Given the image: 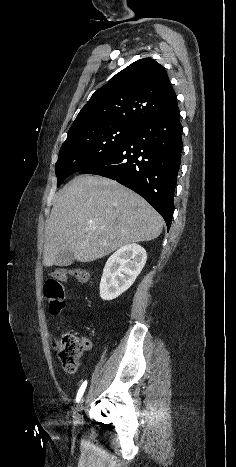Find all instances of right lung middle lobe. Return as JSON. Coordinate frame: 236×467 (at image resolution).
<instances>
[{
  "label": "right lung middle lobe",
  "instance_id": "right-lung-middle-lobe-1",
  "mask_svg": "<svg viewBox=\"0 0 236 467\" xmlns=\"http://www.w3.org/2000/svg\"><path fill=\"white\" fill-rule=\"evenodd\" d=\"M135 128L114 125L68 135L55 164L57 186L70 174L82 171L117 150Z\"/></svg>",
  "mask_w": 236,
  "mask_h": 467
}]
</instances>
